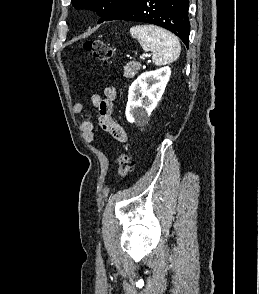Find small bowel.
I'll use <instances>...</instances> for the list:
<instances>
[{"label": "small bowel", "instance_id": "c3829d8e", "mask_svg": "<svg viewBox=\"0 0 259 294\" xmlns=\"http://www.w3.org/2000/svg\"><path fill=\"white\" fill-rule=\"evenodd\" d=\"M116 92L114 88H105L103 94H95L92 97V104L97 112V118L100 127L110 134L117 141L124 143L127 141V134L123 127L118 124L113 118V100L115 99ZM72 111L75 115H84V106L77 102L74 103ZM79 130L83 138L87 142H93L95 139V132L93 124L88 120L79 122Z\"/></svg>", "mask_w": 259, "mask_h": 294}]
</instances>
